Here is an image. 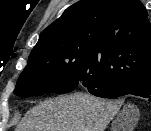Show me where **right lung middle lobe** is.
<instances>
[{
    "instance_id": "1",
    "label": "right lung middle lobe",
    "mask_w": 151,
    "mask_h": 131,
    "mask_svg": "<svg viewBox=\"0 0 151 131\" xmlns=\"http://www.w3.org/2000/svg\"><path fill=\"white\" fill-rule=\"evenodd\" d=\"M81 81H107L96 60L75 43H61L44 48L34 47L27 66L17 80V96L44 93H68Z\"/></svg>"
}]
</instances>
